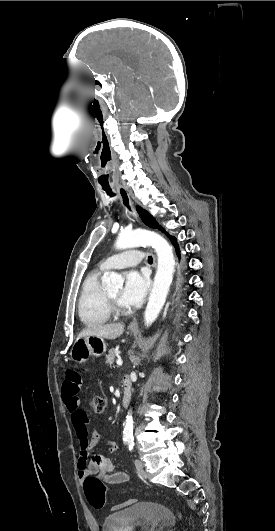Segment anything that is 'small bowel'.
<instances>
[{
    "instance_id": "c3829d8e",
    "label": "small bowel",
    "mask_w": 275,
    "mask_h": 531,
    "mask_svg": "<svg viewBox=\"0 0 275 531\" xmlns=\"http://www.w3.org/2000/svg\"><path fill=\"white\" fill-rule=\"evenodd\" d=\"M67 381L62 386V396L66 407L70 412V421L72 429L80 441V453L77 457V476L84 480L85 471H96L98 477L105 483H126L129 476L126 472L116 471L114 462L107 456L95 452L98 445L104 443L109 452L117 450L116 442L107 440L99 431H93L88 439V416L80 407L77 394L81 392L80 375L75 367H68L64 371ZM85 439L86 443L82 444L81 440ZM129 503H120L113 507V510H119L126 507Z\"/></svg>"
}]
</instances>
